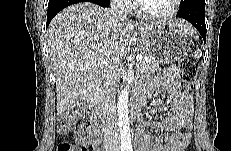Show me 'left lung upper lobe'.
<instances>
[{
	"mask_svg": "<svg viewBox=\"0 0 231 151\" xmlns=\"http://www.w3.org/2000/svg\"><path fill=\"white\" fill-rule=\"evenodd\" d=\"M188 0H181V6L182 7Z\"/></svg>",
	"mask_w": 231,
	"mask_h": 151,
	"instance_id": "1",
	"label": "left lung upper lobe"
}]
</instances>
